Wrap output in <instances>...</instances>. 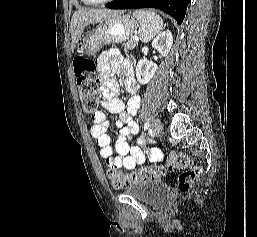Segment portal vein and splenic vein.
<instances>
[{"mask_svg":"<svg viewBox=\"0 0 257 237\" xmlns=\"http://www.w3.org/2000/svg\"><path fill=\"white\" fill-rule=\"evenodd\" d=\"M133 40H134V41H138L139 38H138V37H134Z\"/></svg>","mask_w":257,"mask_h":237,"instance_id":"portal-vein-and-splenic-vein-1","label":"portal vein and splenic vein"}]
</instances>
